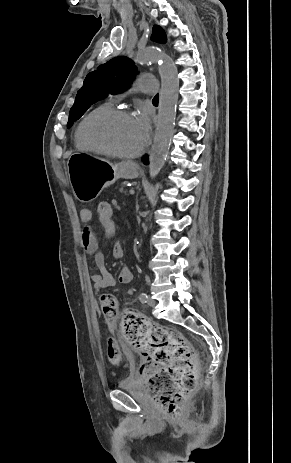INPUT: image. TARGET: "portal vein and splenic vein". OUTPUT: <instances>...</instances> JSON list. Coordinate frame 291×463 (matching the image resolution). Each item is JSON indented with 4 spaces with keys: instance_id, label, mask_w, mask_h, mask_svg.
I'll use <instances>...</instances> for the list:
<instances>
[{
    "instance_id": "portal-vein-and-splenic-vein-1",
    "label": "portal vein and splenic vein",
    "mask_w": 291,
    "mask_h": 463,
    "mask_svg": "<svg viewBox=\"0 0 291 463\" xmlns=\"http://www.w3.org/2000/svg\"><path fill=\"white\" fill-rule=\"evenodd\" d=\"M129 193H130V194H134V193H135L134 189H130V190H129Z\"/></svg>"
}]
</instances>
